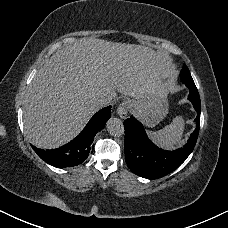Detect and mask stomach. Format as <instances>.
<instances>
[{
  "label": "stomach",
  "instance_id": "stomach-1",
  "mask_svg": "<svg viewBox=\"0 0 228 228\" xmlns=\"http://www.w3.org/2000/svg\"><path fill=\"white\" fill-rule=\"evenodd\" d=\"M130 112L144 121L148 127H154L168 113L167 96L155 90L154 93L146 92L143 95L128 98L126 100Z\"/></svg>",
  "mask_w": 228,
  "mask_h": 228
}]
</instances>
